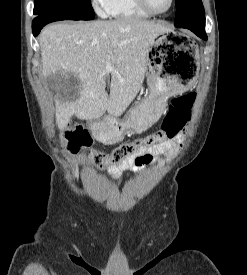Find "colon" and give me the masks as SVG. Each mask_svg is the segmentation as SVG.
<instances>
[{
    "label": "colon",
    "mask_w": 247,
    "mask_h": 275,
    "mask_svg": "<svg viewBox=\"0 0 247 275\" xmlns=\"http://www.w3.org/2000/svg\"><path fill=\"white\" fill-rule=\"evenodd\" d=\"M195 99L196 95L194 93L174 98L157 131L135 141L119 145L110 156H106L101 151L91 149L89 158L92 164L97 169L102 168L107 162L118 164L135 157L144 148L152 147L174 138L190 120ZM62 144L70 151L76 152L83 148H90L92 139L86 129L75 124L65 130L62 136Z\"/></svg>",
    "instance_id": "colon-1"
}]
</instances>
